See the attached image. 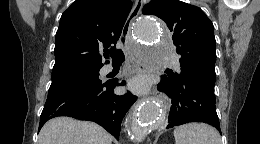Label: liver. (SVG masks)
I'll use <instances>...</instances> for the list:
<instances>
[{"instance_id":"liver-1","label":"liver","mask_w":260,"mask_h":144,"mask_svg":"<svg viewBox=\"0 0 260 144\" xmlns=\"http://www.w3.org/2000/svg\"><path fill=\"white\" fill-rule=\"evenodd\" d=\"M39 144H111L112 136L93 122L70 117L49 120L39 133Z\"/></svg>"}]
</instances>
